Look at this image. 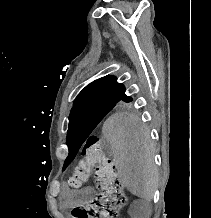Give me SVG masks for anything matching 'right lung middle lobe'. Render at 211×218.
Here are the masks:
<instances>
[{"label":"right lung middle lobe","mask_w":211,"mask_h":218,"mask_svg":"<svg viewBox=\"0 0 211 218\" xmlns=\"http://www.w3.org/2000/svg\"><path fill=\"white\" fill-rule=\"evenodd\" d=\"M131 101V98L112 101H91L74 106L69 116L67 141L85 140L110 111L128 108L130 106L128 103Z\"/></svg>","instance_id":"1"}]
</instances>
